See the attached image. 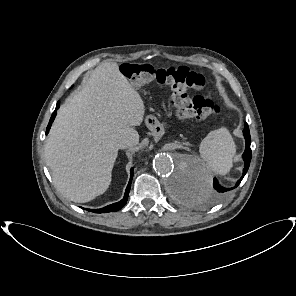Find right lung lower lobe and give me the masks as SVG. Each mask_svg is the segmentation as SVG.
I'll use <instances>...</instances> for the list:
<instances>
[{
    "label": "right lung lower lobe",
    "mask_w": 296,
    "mask_h": 296,
    "mask_svg": "<svg viewBox=\"0 0 296 296\" xmlns=\"http://www.w3.org/2000/svg\"><path fill=\"white\" fill-rule=\"evenodd\" d=\"M59 106H60V103L58 102L57 105H56V109L53 112V114L51 116V119L49 121V124L47 126L46 134L49 132L51 124H52V122H53V120H54V118L56 116V110L59 108ZM132 177H133V169L131 170L130 180H129V183H128L127 188H126L125 195H124V197H123V199L121 201L113 203L111 205H108V206L100 208V209H96V210L87 209V210L90 211V212H95V213H107V212H115V211L120 210L126 204V202L128 200V195H129V191H130V187H131Z\"/></svg>",
    "instance_id": "right-lung-lower-lobe-1"
}]
</instances>
